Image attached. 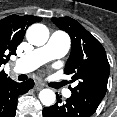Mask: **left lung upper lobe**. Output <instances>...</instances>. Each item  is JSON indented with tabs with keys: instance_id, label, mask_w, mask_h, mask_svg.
Here are the masks:
<instances>
[{
	"instance_id": "left-lung-upper-lobe-1",
	"label": "left lung upper lobe",
	"mask_w": 117,
	"mask_h": 117,
	"mask_svg": "<svg viewBox=\"0 0 117 117\" xmlns=\"http://www.w3.org/2000/svg\"><path fill=\"white\" fill-rule=\"evenodd\" d=\"M52 22L71 37V53L64 69L78 85L70 88L76 97L96 110L107 91L110 73L106 52L101 43L79 22L70 18H52Z\"/></svg>"
}]
</instances>
